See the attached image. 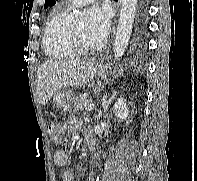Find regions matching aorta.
I'll list each match as a JSON object with an SVG mask.
<instances>
[{
    "label": "aorta",
    "mask_w": 197,
    "mask_h": 181,
    "mask_svg": "<svg viewBox=\"0 0 197 181\" xmlns=\"http://www.w3.org/2000/svg\"><path fill=\"white\" fill-rule=\"evenodd\" d=\"M137 1L138 0H122L119 24L113 49V57L115 60L120 59L128 47L135 19ZM72 20L75 23H80L84 20V14L80 11H74Z\"/></svg>",
    "instance_id": "1"
}]
</instances>
